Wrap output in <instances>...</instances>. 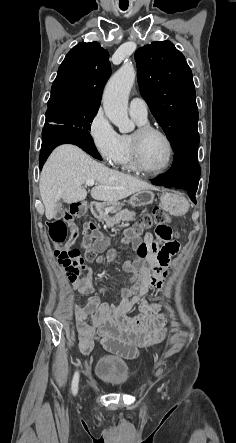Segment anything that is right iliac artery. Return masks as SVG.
I'll use <instances>...</instances> for the list:
<instances>
[{
  "label": "right iliac artery",
  "instance_id": "obj_1",
  "mask_svg": "<svg viewBox=\"0 0 236 443\" xmlns=\"http://www.w3.org/2000/svg\"><path fill=\"white\" fill-rule=\"evenodd\" d=\"M78 381H79V374L78 372H76L72 380V392L74 395L77 393Z\"/></svg>",
  "mask_w": 236,
  "mask_h": 443
}]
</instances>
